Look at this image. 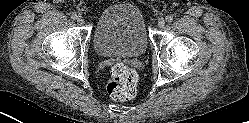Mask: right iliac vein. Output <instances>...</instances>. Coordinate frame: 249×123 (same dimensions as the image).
Returning <instances> with one entry per match:
<instances>
[{"instance_id":"right-iliac-vein-1","label":"right iliac vein","mask_w":249,"mask_h":123,"mask_svg":"<svg viewBox=\"0 0 249 123\" xmlns=\"http://www.w3.org/2000/svg\"><path fill=\"white\" fill-rule=\"evenodd\" d=\"M77 23L79 25H83L85 23V20L80 16V17L77 18Z\"/></svg>"}]
</instances>
